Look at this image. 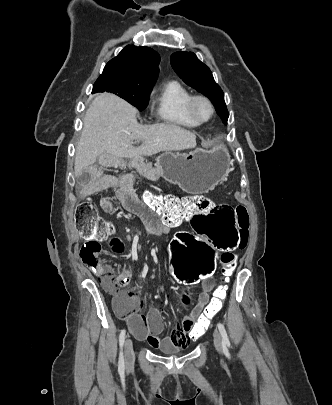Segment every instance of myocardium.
<instances>
[{"instance_id":"obj_1","label":"myocardium","mask_w":332,"mask_h":405,"mask_svg":"<svg viewBox=\"0 0 332 405\" xmlns=\"http://www.w3.org/2000/svg\"><path fill=\"white\" fill-rule=\"evenodd\" d=\"M198 100H202V101L206 102L210 107V116L207 119H200L196 115L194 105H195V102ZM186 112L189 115V117L191 119H193L195 122H197L198 124H205L213 118V116L215 114V107H214L212 100L209 97H207L206 95L194 94V95H191L186 102Z\"/></svg>"}]
</instances>
